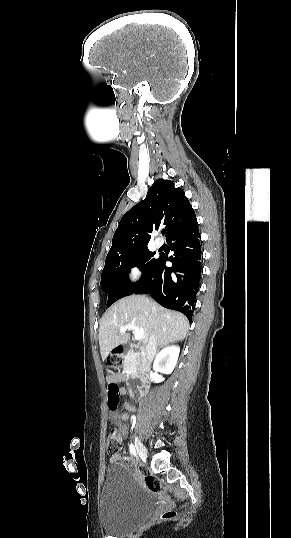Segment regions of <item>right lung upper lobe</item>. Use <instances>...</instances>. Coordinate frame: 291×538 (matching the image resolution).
Instances as JSON below:
<instances>
[{
  "mask_svg": "<svg viewBox=\"0 0 291 538\" xmlns=\"http://www.w3.org/2000/svg\"><path fill=\"white\" fill-rule=\"evenodd\" d=\"M195 212L181 188L159 179L144 200L121 218L106 259L147 248L153 229L164 225L166 240L196 222Z\"/></svg>",
  "mask_w": 291,
  "mask_h": 538,
  "instance_id": "1",
  "label": "right lung upper lobe"
}]
</instances>
